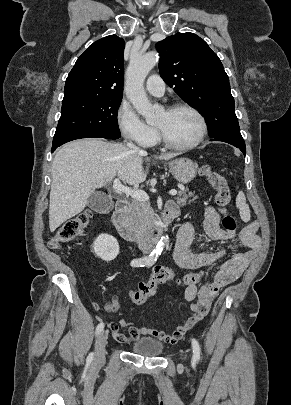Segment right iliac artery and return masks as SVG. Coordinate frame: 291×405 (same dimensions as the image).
Segmentation results:
<instances>
[{
	"instance_id": "right-iliac-artery-1",
	"label": "right iliac artery",
	"mask_w": 291,
	"mask_h": 405,
	"mask_svg": "<svg viewBox=\"0 0 291 405\" xmlns=\"http://www.w3.org/2000/svg\"><path fill=\"white\" fill-rule=\"evenodd\" d=\"M150 263V261L148 259H134L131 261V266L132 267H143L145 265H148ZM104 329V324L100 323L98 324V326L96 327V335H99L102 330ZM88 361L91 362L93 359V353L89 354L88 356Z\"/></svg>"
}]
</instances>
